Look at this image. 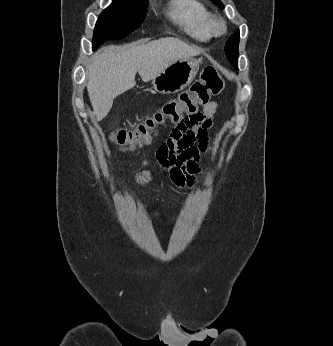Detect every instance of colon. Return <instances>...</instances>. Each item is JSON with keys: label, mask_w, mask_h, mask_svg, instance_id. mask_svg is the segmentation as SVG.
Segmentation results:
<instances>
[{"label": "colon", "mask_w": 333, "mask_h": 346, "mask_svg": "<svg viewBox=\"0 0 333 346\" xmlns=\"http://www.w3.org/2000/svg\"><path fill=\"white\" fill-rule=\"evenodd\" d=\"M223 81L214 66L204 68L198 81L189 91L181 93L176 99L165 103L152 116L133 129H120L113 133V141L133 150L151 142L160 126L182 121L190 117L200 118L199 107L207 105L212 96L218 95Z\"/></svg>", "instance_id": "5ec220e1"}]
</instances>
